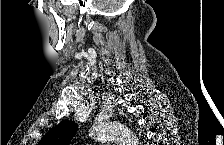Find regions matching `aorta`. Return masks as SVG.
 I'll list each match as a JSON object with an SVG mask.
<instances>
[{"mask_svg":"<svg viewBox=\"0 0 224 145\" xmlns=\"http://www.w3.org/2000/svg\"><path fill=\"white\" fill-rule=\"evenodd\" d=\"M89 136L97 141H112L119 145H138V138L125 125L118 122L95 124Z\"/></svg>","mask_w":224,"mask_h":145,"instance_id":"762f6f07","label":"aorta"}]
</instances>
